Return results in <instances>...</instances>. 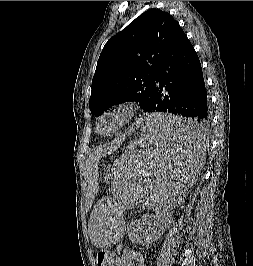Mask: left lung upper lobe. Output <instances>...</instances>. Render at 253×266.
<instances>
[{"mask_svg": "<svg viewBox=\"0 0 253 266\" xmlns=\"http://www.w3.org/2000/svg\"><path fill=\"white\" fill-rule=\"evenodd\" d=\"M176 24L167 12L149 9L108 40L92 80V114L99 116L128 101L139 102L147 111L157 63Z\"/></svg>", "mask_w": 253, "mask_h": 266, "instance_id": "left-lung-upper-lobe-1", "label": "left lung upper lobe"}]
</instances>
